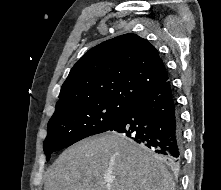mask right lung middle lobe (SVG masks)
Listing matches in <instances>:
<instances>
[{
	"label": "right lung middle lobe",
	"mask_w": 221,
	"mask_h": 190,
	"mask_svg": "<svg viewBox=\"0 0 221 190\" xmlns=\"http://www.w3.org/2000/svg\"><path fill=\"white\" fill-rule=\"evenodd\" d=\"M130 103L103 99L72 104L58 110L48 122L43 149L47 157L88 136L111 130L123 117Z\"/></svg>",
	"instance_id": "1"
}]
</instances>
